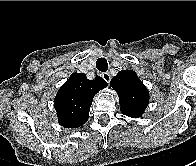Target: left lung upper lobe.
Masks as SVG:
<instances>
[{
	"label": "left lung upper lobe",
	"instance_id": "5c2ea615",
	"mask_svg": "<svg viewBox=\"0 0 196 166\" xmlns=\"http://www.w3.org/2000/svg\"><path fill=\"white\" fill-rule=\"evenodd\" d=\"M110 85L118 93L120 110L124 115L132 118L142 116L149 104V92L135 71H119Z\"/></svg>",
	"mask_w": 196,
	"mask_h": 166
}]
</instances>
